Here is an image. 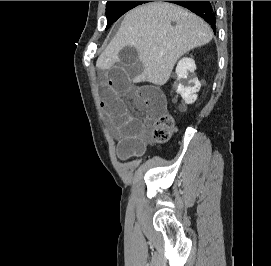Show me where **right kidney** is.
Here are the masks:
<instances>
[{"mask_svg": "<svg viewBox=\"0 0 271 266\" xmlns=\"http://www.w3.org/2000/svg\"><path fill=\"white\" fill-rule=\"evenodd\" d=\"M196 70L195 61L191 58H182L176 67L177 83L176 92L180 94L186 104H192L197 100L201 84L194 75Z\"/></svg>", "mask_w": 271, "mask_h": 266, "instance_id": "obj_1", "label": "right kidney"}]
</instances>
